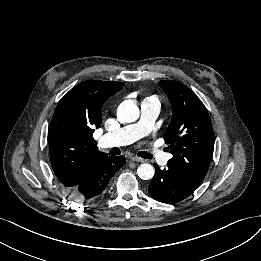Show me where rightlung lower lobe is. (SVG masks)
Returning <instances> with one entry per match:
<instances>
[{"mask_svg": "<svg viewBox=\"0 0 261 261\" xmlns=\"http://www.w3.org/2000/svg\"><path fill=\"white\" fill-rule=\"evenodd\" d=\"M124 156L102 154L92 160L81 181L69 191L79 200L98 198L107 187L111 177L125 164Z\"/></svg>", "mask_w": 261, "mask_h": 261, "instance_id": "obj_1", "label": "right lung lower lobe"}]
</instances>
